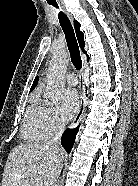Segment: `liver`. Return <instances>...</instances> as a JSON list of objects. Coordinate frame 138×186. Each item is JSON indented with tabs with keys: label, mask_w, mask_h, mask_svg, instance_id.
<instances>
[{
	"label": "liver",
	"mask_w": 138,
	"mask_h": 186,
	"mask_svg": "<svg viewBox=\"0 0 138 186\" xmlns=\"http://www.w3.org/2000/svg\"><path fill=\"white\" fill-rule=\"evenodd\" d=\"M63 156L60 147L48 143L18 145L8 155L1 186H33L34 181L45 183L55 162Z\"/></svg>",
	"instance_id": "6515ba94"
}]
</instances>
